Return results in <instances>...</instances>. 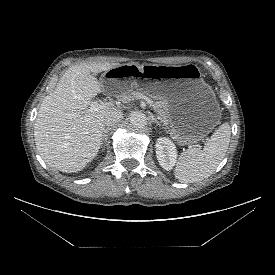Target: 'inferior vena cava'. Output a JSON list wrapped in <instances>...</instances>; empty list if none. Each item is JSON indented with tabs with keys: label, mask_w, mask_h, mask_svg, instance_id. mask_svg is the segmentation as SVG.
<instances>
[{
	"label": "inferior vena cava",
	"mask_w": 275,
	"mask_h": 275,
	"mask_svg": "<svg viewBox=\"0 0 275 275\" xmlns=\"http://www.w3.org/2000/svg\"><path fill=\"white\" fill-rule=\"evenodd\" d=\"M123 118V114L119 110H111L105 115V125L113 126L120 122Z\"/></svg>",
	"instance_id": "obj_1"
}]
</instances>
